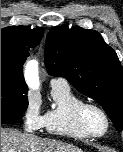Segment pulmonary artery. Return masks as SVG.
<instances>
[{
    "instance_id": "e3ab8cb5",
    "label": "pulmonary artery",
    "mask_w": 123,
    "mask_h": 152,
    "mask_svg": "<svg viewBox=\"0 0 123 152\" xmlns=\"http://www.w3.org/2000/svg\"><path fill=\"white\" fill-rule=\"evenodd\" d=\"M50 84H51L52 87H55V86H68V82L64 78H60V77H53L50 80Z\"/></svg>"
}]
</instances>
